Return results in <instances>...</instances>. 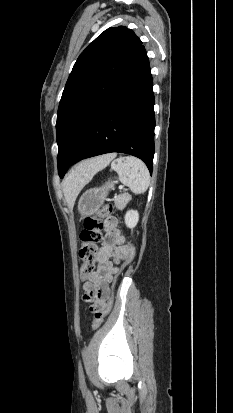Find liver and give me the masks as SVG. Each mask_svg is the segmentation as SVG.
I'll return each mask as SVG.
<instances>
[{"mask_svg": "<svg viewBox=\"0 0 233 413\" xmlns=\"http://www.w3.org/2000/svg\"><path fill=\"white\" fill-rule=\"evenodd\" d=\"M115 157V154H106L86 160L78 164L63 182V192L69 208H72L77 195L93 176Z\"/></svg>", "mask_w": 233, "mask_h": 413, "instance_id": "6515ba94", "label": "liver"}]
</instances>
